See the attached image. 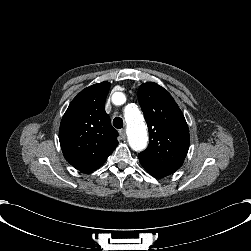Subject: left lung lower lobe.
Returning <instances> with one entry per match:
<instances>
[{
    "mask_svg": "<svg viewBox=\"0 0 251 251\" xmlns=\"http://www.w3.org/2000/svg\"><path fill=\"white\" fill-rule=\"evenodd\" d=\"M140 163L149 174H151L152 176H154L156 178H163V177H166V176L173 173L169 170L159 168V167L155 166L154 164L149 163L144 160H140Z\"/></svg>",
    "mask_w": 251,
    "mask_h": 251,
    "instance_id": "obj_1",
    "label": "left lung lower lobe"
}]
</instances>
